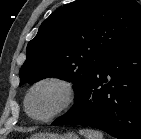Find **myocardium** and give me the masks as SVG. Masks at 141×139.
Returning a JSON list of instances; mask_svg holds the SVG:
<instances>
[{
	"mask_svg": "<svg viewBox=\"0 0 141 139\" xmlns=\"http://www.w3.org/2000/svg\"><path fill=\"white\" fill-rule=\"evenodd\" d=\"M49 83L56 84L62 88V90L64 92L63 102L50 115H48L46 117H36L30 112V109H29L30 97L36 88H38L39 86H41L43 84H49ZM76 98H77V90H76V87L74 86V84L70 80H68L64 77H61V76H57V75H49V76H45V77L38 79L29 87V89L25 95V98H24V107H25V111H26L27 115L31 119L38 121V122H49V121L57 118L58 116H60L64 112H66L68 109H70L73 106V104L75 103Z\"/></svg>",
	"mask_w": 141,
	"mask_h": 139,
	"instance_id": "1",
	"label": "myocardium"
}]
</instances>
